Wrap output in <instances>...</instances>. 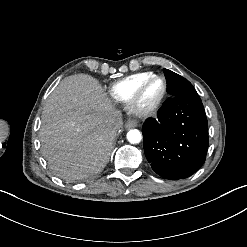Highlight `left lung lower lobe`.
<instances>
[{
	"label": "left lung lower lobe",
	"instance_id": "left-lung-lower-lobe-1",
	"mask_svg": "<svg viewBox=\"0 0 247 247\" xmlns=\"http://www.w3.org/2000/svg\"><path fill=\"white\" fill-rule=\"evenodd\" d=\"M144 152L152 169L170 180L185 179L205 162L208 122L198 94L173 97L142 128Z\"/></svg>",
	"mask_w": 247,
	"mask_h": 247
}]
</instances>
